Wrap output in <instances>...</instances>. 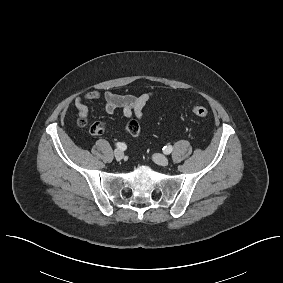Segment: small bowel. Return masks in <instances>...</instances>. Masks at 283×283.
Returning a JSON list of instances; mask_svg holds the SVG:
<instances>
[{
  "label": "small bowel",
  "mask_w": 283,
  "mask_h": 283,
  "mask_svg": "<svg viewBox=\"0 0 283 283\" xmlns=\"http://www.w3.org/2000/svg\"><path fill=\"white\" fill-rule=\"evenodd\" d=\"M153 97V93L147 92L140 95L117 94L111 91L104 93L93 91L79 96L76 99V107L81 117L89 113L88 104L94 101H101L107 113H114L121 109L123 115L129 120L125 126V133L137 137L141 133L139 120L142 119L143 109L147 102Z\"/></svg>",
  "instance_id": "c3829d8e"
}]
</instances>
